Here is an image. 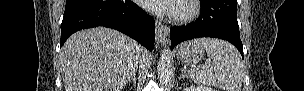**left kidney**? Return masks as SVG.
<instances>
[{
    "label": "left kidney",
    "instance_id": "1",
    "mask_svg": "<svg viewBox=\"0 0 304 91\" xmlns=\"http://www.w3.org/2000/svg\"><path fill=\"white\" fill-rule=\"evenodd\" d=\"M183 91H215L214 89H212L211 87L208 86H190V87H186L185 89H183Z\"/></svg>",
    "mask_w": 304,
    "mask_h": 91
}]
</instances>
